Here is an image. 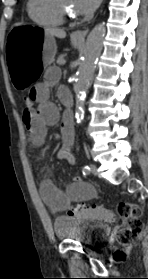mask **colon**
I'll list each match as a JSON object with an SVG mask.
<instances>
[{
  "label": "colon",
  "mask_w": 148,
  "mask_h": 279,
  "mask_svg": "<svg viewBox=\"0 0 148 279\" xmlns=\"http://www.w3.org/2000/svg\"><path fill=\"white\" fill-rule=\"evenodd\" d=\"M34 99L29 93L24 97L25 106H32ZM68 214L75 218H85L100 220L105 222H114L120 220L124 223L123 227L117 233L119 248L114 254L117 261H122L127 256L128 247L135 242L144 229L142 221V209L139 205L130 202H121L116 207V213L103 206L97 205H78L71 207Z\"/></svg>",
  "instance_id": "1"
}]
</instances>
